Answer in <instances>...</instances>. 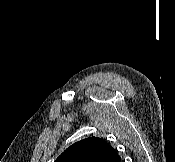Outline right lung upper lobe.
Returning <instances> with one entry per match:
<instances>
[{
    "label": "right lung upper lobe",
    "mask_w": 175,
    "mask_h": 162,
    "mask_svg": "<svg viewBox=\"0 0 175 162\" xmlns=\"http://www.w3.org/2000/svg\"><path fill=\"white\" fill-rule=\"evenodd\" d=\"M117 152L106 141L89 137L69 146L55 162H120Z\"/></svg>",
    "instance_id": "right-lung-upper-lobe-1"
}]
</instances>
